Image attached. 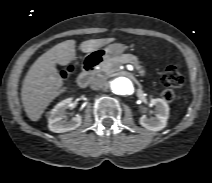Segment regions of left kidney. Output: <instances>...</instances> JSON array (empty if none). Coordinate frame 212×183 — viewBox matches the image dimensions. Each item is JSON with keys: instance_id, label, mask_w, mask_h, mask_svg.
<instances>
[{"instance_id": "5707ae66", "label": "left kidney", "mask_w": 212, "mask_h": 183, "mask_svg": "<svg viewBox=\"0 0 212 183\" xmlns=\"http://www.w3.org/2000/svg\"><path fill=\"white\" fill-rule=\"evenodd\" d=\"M151 105L155 106L156 117L147 118L143 115L140 118L139 123L141 126L151 131H160L167 125L170 108L167 102L160 98L151 99Z\"/></svg>"}]
</instances>
